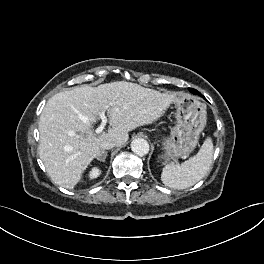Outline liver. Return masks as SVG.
Masks as SVG:
<instances>
[{
  "mask_svg": "<svg viewBox=\"0 0 264 264\" xmlns=\"http://www.w3.org/2000/svg\"><path fill=\"white\" fill-rule=\"evenodd\" d=\"M175 96L125 81L74 87L55 94L39 121V156L51 180L73 189L100 154L104 140L124 145L129 131L157 121ZM100 112H107L111 128L96 135L92 124Z\"/></svg>",
  "mask_w": 264,
  "mask_h": 264,
  "instance_id": "6515ba94",
  "label": "liver"
}]
</instances>
